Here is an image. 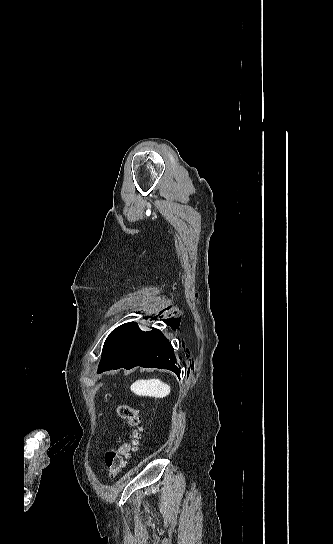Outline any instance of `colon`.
I'll return each instance as SVG.
<instances>
[{"mask_svg": "<svg viewBox=\"0 0 333 544\" xmlns=\"http://www.w3.org/2000/svg\"><path fill=\"white\" fill-rule=\"evenodd\" d=\"M115 411L127 423L129 436L118 448L111 449L105 454V463L110 478H115L126 467L131 453L137 449L142 436L141 418L136 408L127 404H119L115 407Z\"/></svg>", "mask_w": 333, "mask_h": 544, "instance_id": "5ec220e1", "label": "colon"}]
</instances>
